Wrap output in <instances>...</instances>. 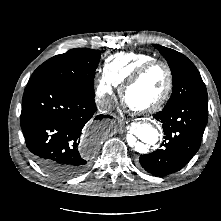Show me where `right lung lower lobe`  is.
<instances>
[{"mask_svg":"<svg viewBox=\"0 0 221 221\" xmlns=\"http://www.w3.org/2000/svg\"><path fill=\"white\" fill-rule=\"evenodd\" d=\"M94 97L47 79L28 82L22 100L21 128L37 164L51 175L70 178L83 173L93 150L83 151L84 126L94 134L109 115H98Z\"/></svg>","mask_w":221,"mask_h":221,"instance_id":"right-lung-lower-lobe-1","label":"right lung lower lobe"}]
</instances>
